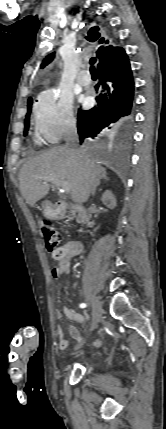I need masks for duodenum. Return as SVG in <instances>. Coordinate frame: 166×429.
I'll return each mask as SVG.
<instances>
[{"label": "duodenum", "instance_id": "duodenum-1", "mask_svg": "<svg viewBox=\"0 0 166 429\" xmlns=\"http://www.w3.org/2000/svg\"><path fill=\"white\" fill-rule=\"evenodd\" d=\"M53 207L57 217H64L70 209V206L64 201L56 202ZM72 208L76 209L79 212L81 223L83 225H86L90 220V215L87 209L81 205H73Z\"/></svg>", "mask_w": 166, "mask_h": 429}]
</instances>
